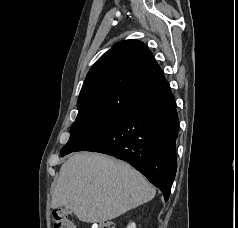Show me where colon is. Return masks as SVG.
Here are the masks:
<instances>
[{
  "label": "colon",
  "mask_w": 238,
  "mask_h": 228,
  "mask_svg": "<svg viewBox=\"0 0 238 228\" xmlns=\"http://www.w3.org/2000/svg\"><path fill=\"white\" fill-rule=\"evenodd\" d=\"M52 221L54 228H75L69 213L61 207L52 211ZM90 228H115V224L110 220H105L92 224Z\"/></svg>",
  "instance_id": "1"
}]
</instances>
